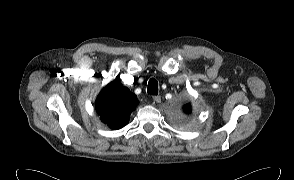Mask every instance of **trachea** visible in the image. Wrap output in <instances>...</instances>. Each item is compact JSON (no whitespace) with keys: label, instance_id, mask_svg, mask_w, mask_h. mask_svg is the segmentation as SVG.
<instances>
[{"label":"trachea","instance_id":"3493384b","mask_svg":"<svg viewBox=\"0 0 294 180\" xmlns=\"http://www.w3.org/2000/svg\"><path fill=\"white\" fill-rule=\"evenodd\" d=\"M147 92L152 95L158 94V82L156 79L151 78L149 80Z\"/></svg>","mask_w":294,"mask_h":180}]
</instances>
